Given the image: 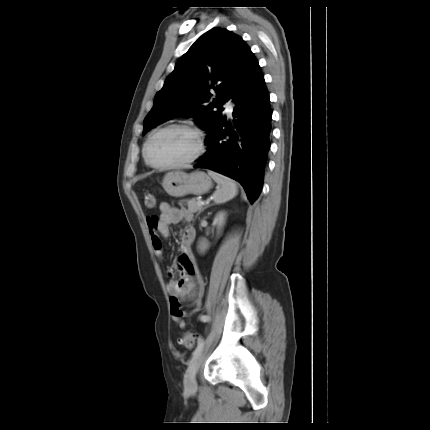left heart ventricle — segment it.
Wrapping results in <instances>:
<instances>
[{
  "mask_svg": "<svg viewBox=\"0 0 430 430\" xmlns=\"http://www.w3.org/2000/svg\"><path fill=\"white\" fill-rule=\"evenodd\" d=\"M197 149V137L185 129H170L157 135L149 147V155L157 164H173L191 157Z\"/></svg>",
  "mask_w": 430,
  "mask_h": 430,
  "instance_id": "obj_1",
  "label": "left heart ventricle"
}]
</instances>
